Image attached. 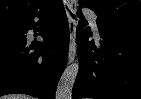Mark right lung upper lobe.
<instances>
[{
    "label": "right lung upper lobe",
    "instance_id": "1",
    "mask_svg": "<svg viewBox=\"0 0 141 99\" xmlns=\"http://www.w3.org/2000/svg\"><path fill=\"white\" fill-rule=\"evenodd\" d=\"M59 0H0V22L46 12Z\"/></svg>",
    "mask_w": 141,
    "mask_h": 99
}]
</instances>
